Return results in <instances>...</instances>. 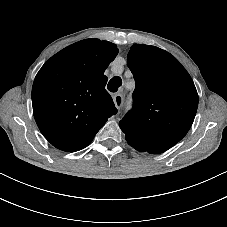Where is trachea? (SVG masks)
Returning a JSON list of instances; mask_svg holds the SVG:
<instances>
[{"label": "trachea", "instance_id": "trachea-1", "mask_svg": "<svg viewBox=\"0 0 227 227\" xmlns=\"http://www.w3.org/2000/svg\"><path fill=\"white\" fill-rule=\"evenodd\" d=\"M122 85V79L119 77V76H115L113 77L108 85H107V89L110 91V92H117L118 91V88Z\"/></svg>", "mask_w": 227, "mask_h": 227}]
</instances>
